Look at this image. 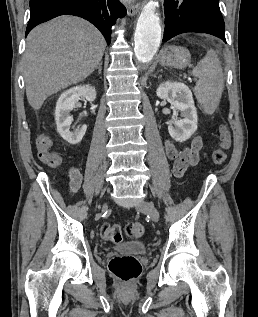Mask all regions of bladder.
I'll list each match as a JSON object with an SVG mask.
<instances>
[{"label":"bladder","instance_id":"31cf9c89","mask_svg":"<svg viewBox=\"0 0 258 317\" xmlns=\"http://www.w3.org/2000/svg\"><path fill=\"white\" fill-rule=\"evenodd\" d=\"M115 251L120 256L136 257L146 253L147 249L142 242H125L117 245Z\"/></svg>","mask_w":258,"mask_h":317}]
</instances>
